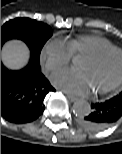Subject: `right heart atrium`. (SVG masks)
Here are the masks:
<instances>
[{
    "instance_id": "1",
    "label": "right heart atrium",
    "mask_w": 122,
    "mask_h": 154,
    "mask_svg": "<svg viewBox=\"0 0 122 154\" xmlns=\"http://www.w3.org/2000/svg\"><path fill=\"white\" fill-rule=\"evenodd\" d=\"M71 58L72 54L67 43L61 38H51L41 51V61L48 72H54L67 66Z\"/></svg>"
}]
</instances>
